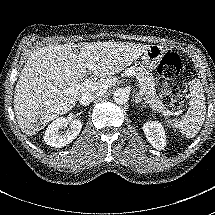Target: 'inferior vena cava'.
Masks as SVG:
<instances>
[{
	"label": "inferior vena cava",
	"instance_id": "obj_1",
	"mask_svg": "<svg viewBox=\"0 0 215 215\" xmlns=\"http://www.w3.org/2000/svg\"><path fill=\"white\" fill-rule=\"evenodd\" d=\"M105 92H106L105 89L98 90L95 93L86 92L82 95V97H80L79 103L85 106L90 105L91 102H93L98 97L102 96Z\"/></svg>",
	"mask_w": 215,
	"mask_h": 215
}]
</instances>
